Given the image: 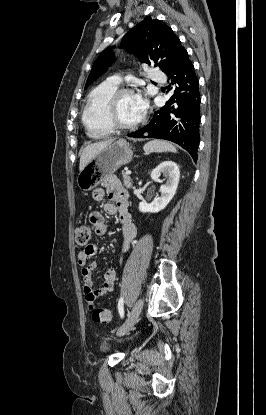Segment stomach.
Listing matches in <instances>:
<instances>
[{"label":"stomach","instance_id":"0dacf381","mask_svg":"<svg viewBox=\"0 0 266 415\" xmlns=\"http://www.w3.org/2000/svg\"><path fill=\"white\" fill-rule=\"evenodd\" d=\"M133 152L125 140L114 141L102 149L78 174L77 185L82 191L97 187L118 168L132 160Z\"/></svg>","mask_w":266,"mask_h":415}]
</instances>
